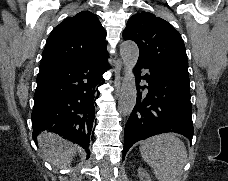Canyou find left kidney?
<instances>
[{"label":"left kidney","instance_id":"1","mask_svg":"<svg viewBox=\"0 0 228 181\" xmlns=\"http://www.w3.org/2000/svg\"><path fill=\"white\" fill-rule=\"evenodd\" d=\"M138 175L140 181H152L150 175H148L147 171H145L143 167H138Z\"/></svg>","mask_w":228,"mask_h":181}]
</instances>
